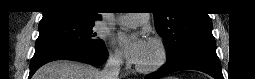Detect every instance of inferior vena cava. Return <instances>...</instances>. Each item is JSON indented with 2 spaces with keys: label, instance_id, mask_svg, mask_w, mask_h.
<instances>
[{
  "label": "inferior vena cava",
  "instance_id": "obj_1",
  "mask_svg": "<svg viewBox=\"0 0 255 79\" xmlns=\"http://www.w3.org/2000/svg\"><path fill=\"white\" fill-rule=\"evenodd\" d=\"M122 59L117 54H109L107 62L100 73L101 79H118Z\"/></svg>",
  "mask_w": 255,
  "mask_h": 79
}]
</instances>
